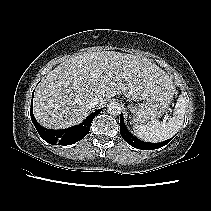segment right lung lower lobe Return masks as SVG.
<instances>
[{
	"label": "right lung lower lobe",
	"instance_id": "obj_1",
	"mask_svg": "<svg viewBox=\"0 0 211 211\" xmlns=\"http://www.w3.org/2000/svg\"><path fill=\"white\" fill-rule=\"evenodd\" d=\"M32 100H33V95H32ZM31 105H32L30 110L31 119L41 138H43L48 143L54 145H63V146L74 144L75 142H78L81 139H83L90 130L92 120L101 111V109H99L93 112L85 119L84 122H82L79 125L63 130H50L38 124L33 115V110H32L33 104Z\"/></svg>",
	"mask_w": 211,
	"mask_h": 211
}]
</instances>
